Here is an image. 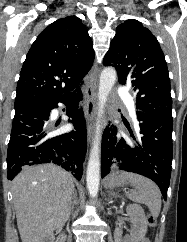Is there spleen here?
Here are the masks:
<instances>
[{
	"mask_svg": "<svg viewBox=\"0 0 187 242\" xmlns=\"http://www.w3.org/2000/svg\"><path fill=\"white\" fill-rule=\"evenodd\" d=\"M134 187V191L128 194L129 198L137 203L145 204L152 216L157 218L161 210V192L158 186L150 179L135 173H121Z\"/></svg>",
	"mask_w": 187,
	"mask_h": 242,
	"instance_id": "obj_1",
	"label": "spleen"
}]
</instances>
